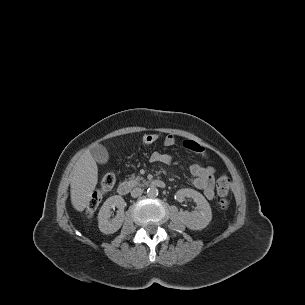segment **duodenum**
I'll return each mask as SVG.
<instances>
[{"label": "duodenum", "mask_w": 305, "mask_h": 305, "mask_svg": "<svg viewBox=\"0 0 305 305\" xmlns=\"http://www.w3.org/2000/svg\"><path fill=\"white\" fill-rule=\"evenodd\" d=\"M150 185L152 187L164 188L166 184L163 180L156 179L151 181ZM130 191H131V184L127 181L121 182L117 188V192L121 196L128 195Z\"/></svg>", "instance_id": "410a0bca"}]
</instances>
